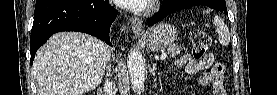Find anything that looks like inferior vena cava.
<instances>
[{
	"label": "inferior vena cava",
	"mask_w": 277,
	"mask_h": 95,
	"mask_svg": "<svg viewBox=\"0 0 277 95\" xmlns=\"http://www.w3.org/2000/svg\"><path fill=\"white\" fill-rule=\"evenodd\" d=\"M108 70H109V74H107V76L108 75L110 76V66L108 67ZM104 90L108 93V95H113L114 94V92H113V83L108 78L105 82Z\"/></svg>",
	"instance_id": "602c4592"
}]
</instances>
